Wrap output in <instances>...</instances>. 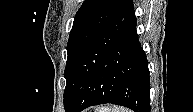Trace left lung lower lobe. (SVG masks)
I'll return each instance as SVG.
<instances>
[{
    "instance_id": "obj_1",
    "label": "left lung lower lobe",
    "mask_w": 193,
    "mask_h": 112,
    "mask_svg": "<svg viewBox=\"0 0 193 112\" xmlns=\"http://www.w3.org/2000/svg\"><path fill=\"white\" fill-rule=\"evenodd\" d=\"M136 22L131 2L87 47L66 84V112L104 103L150 112L149 69Z\"/></svg>"
}]
</instances>
